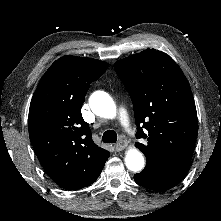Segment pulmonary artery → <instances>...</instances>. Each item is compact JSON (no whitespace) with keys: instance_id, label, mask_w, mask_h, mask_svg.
Segmentation results:
<instances>
[{"instance_id":"obj_1","label":"pulmonary artery","mask_w":221,"mask_h":221,"mask_svg":"<svg viewBox=\"0 0 221 221\" xmlns=\"http://www.w3.org/2000/svg\"><path fill=\"white\" fill-rule=\"evenodd\" d=\"M118 118L120 123L124 126V127H128L129 126V118H128V114L125 111L124 108H120L118 110Z\"/></svg>"}]
</instances>
